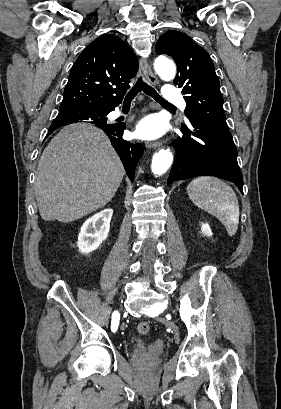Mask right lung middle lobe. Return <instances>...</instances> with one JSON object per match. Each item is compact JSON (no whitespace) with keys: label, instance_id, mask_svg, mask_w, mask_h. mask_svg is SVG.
<instances>
[{"label":"right lung middle lobe","instance_id":"1","mask_svg":"<svg viewBox=\"0 0 281 409\" xmlns=\"http://www.w3.org/2000/svg\"><path fill=\"white\" fill-rule=\"evenodd\" d=\"M88 122L91 123L94 120L88 119V118H76V117H59L57 116L56 119L52 122L49 130L53 131L58 127L68 125L71 123H76V122Z\"/></svg>","mask_w":281,"mask_h":409}]
</instances>
